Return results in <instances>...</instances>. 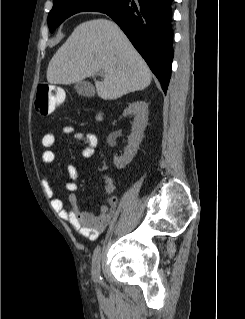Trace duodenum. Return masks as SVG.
Listing matches in <instances>:
<instances>
[{"mask_svg": "<svg viewBox=\"0 0 245 319\" xmlns=\"http://www.w3.org/2000/svg\"><path fill=\"white\" fill-rule=\"evenodd\" d=\"M102 118V116L101 115H99V119H101Z\"/></svg>", "mask_w": 245, "mask_h": 319, "instance_id": "obj_1", "label": "duodenum"}]
</instances>
